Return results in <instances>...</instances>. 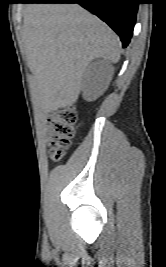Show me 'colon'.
Segmentation results:
<instances>
[{
	"instance_id": "5ec220e1",
	"label": "colon",
	"mask_w": 166,
	"mask_h": 267,
	"mask_svg": "<svg viewBox=\"0 0 166 267\" xmlns=\"http://www.w3.org/2000/svg\"><path fill=\"white\" fill-rule=\"evenodd\" d=\"M77 116L74 106L63 107L49 113L48 122L51 127L49 154L52 160H61L71 145Z\"/></svg>"
}]
</instances>
